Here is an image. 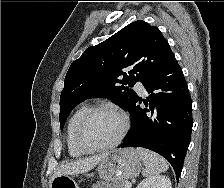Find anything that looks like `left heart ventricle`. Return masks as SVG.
<instances>
[{
	"label": "left heart ventricle",
	"instance_id": "obj_1",
	"mask_svg": "<svg viewBox=\"0 0 224 188\" xmlns=\"http://www.w3.org/2000/svg\"><path fill=\"white\" fill-rule=\"evenodd\" d=\"M122 121L112 112L100 111L91 116L83 130L84 141L91 146L112 142L120 133Z\"/></svg>",
	"mask_w": 224,
	"mask_h": 188
}]
</instances>
